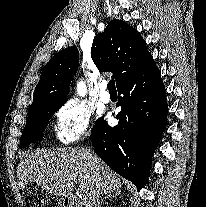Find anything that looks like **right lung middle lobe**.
<instances>
[{
    "instance_id": "obj_1",
    "label": "right lung middle lobe",
    "mask_w": 206,
    "mask_h": 207,
    "mask_svg": "<svg viewBox=\"0 0 206 207\" xmlns=\"http://www.w3.org/2000/svg\"><path fill=\"white\" fill-rule=\"evenodd\" d=\"M63 105L64 103L47 104L28 112V120L20 139V146L24 148L32 142L40 141L48 121Z\"/></svg>"
}]
</instances>
